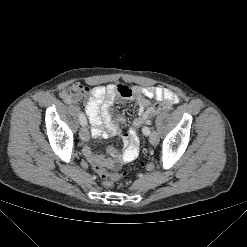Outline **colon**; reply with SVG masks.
I'll use <instances>...</instances> for the list:
<instances>
[{
  "instance_id": "obj_1",
  "label": "colon",
  "mask_w": 247,
  "mask_h": 247,
  "mask_svg": "<svg viewBox=\"0 0 247 247\" xmlns=\"http://www.w3.org/2000/svg\"><path fill=\"white\" fill-rule=\"evenodd\" d=\"M118 92L121 96H129L131 94L130 88L124 85L118 86ZM172 106L168 102H161L153 105L152 107L146 108L145 111L138 116L137 119L133 122V129L137 132V130L144 126L150 119L156 114L171 110ZM96 172L103 180V184L107 188H111L114 185V181L118 180L121 176L118 174H111L106 171L105 168L97 166Z\"/></svg>"
}]
</instances>
